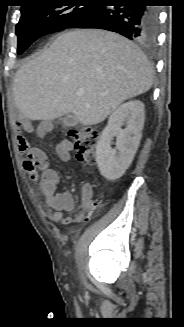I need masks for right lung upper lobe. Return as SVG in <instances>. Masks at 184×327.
Listing matches in <instances>:
<instances>
[{"instance_id": "cb5924a9", "label": "right lung upper lobe", "mask_w": 184, "mask_h": 327, "mask_svg": "<svg viewBox=\"0 0 184 327\" xmlns=\"http://www.w3.org/2000/svg\"><path fill=\"white\" fill-rule=\"evenodd\" d=\"M23 3H25L24 5H22L21 7V10L29 5H32V4H35V3H38V2H41L43 0H22Z\"/></svg>"}]
</instances>
